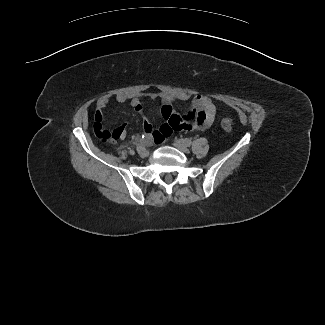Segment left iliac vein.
Segmentation results:
<instances>
[{
	"instance_id": "1",
	"label": "left iliac vein",
	"mask_w": 325,
	"mask_h": 325,
	"mask_svg": "<svg viewBox=\"0 0 325 325\" xmlns=\"http://www.w3.org/2000/svg\"><path fill=\"white\" fill-rule=\"evenodd\" d=\"M173 145H174L176 148H178V149H180L181 151H183V152H189V149L187 148V146L184 145V144H182L180 141H176V142H174Z\"/></svg>"
}]
</instances>
